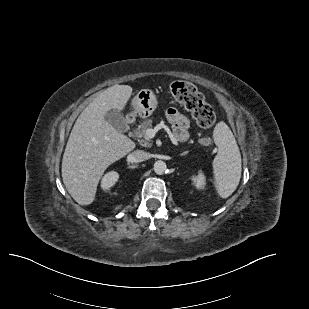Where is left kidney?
Instances as JSON below:
<instances>
[{
    "mask_svg": "<svg viewBox=\"0 0 309 309\" xmlns=\"http://www.w3.org/2000/svg\"><path fill=\"white\" fill-rule=\"evenodd\" d=\"M192 181L198 189H203L205 186V177L201 172L197 176H193Z\"/></svg>",
    "mask_w": 309,
    "mask_h": 309,
    "instance_id": "obj_1",
    "label": "left kidney"
}]
</instances>
